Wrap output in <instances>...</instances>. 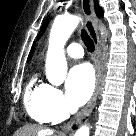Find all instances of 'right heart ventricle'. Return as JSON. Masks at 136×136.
<instances>
[{"label":"right heart ventricle","mask_w":136,"mask_h":136,"mask_svg":"<svg viewBox=\"0 0 136 136\" xmlns=\"http://www.w3.org/2000/svg\"><path fill=\"white\" fill-rule=\"evenodd\" d=\"M44 84H38L37 78L33 77L28 83L24 103L28 114L32 119L40 123L53 121L43 104Z\"/></svg>","instance_id":"1"}]
</instances>
